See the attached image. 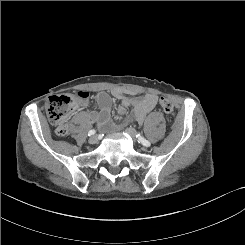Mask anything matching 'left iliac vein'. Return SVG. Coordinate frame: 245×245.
I'll return each mask as SVG.
<instances>
[{
  "instance_id": "1",
  "label": "left iliac vein",
  "mask_w": 245,
  "mask_h": 245,
  "mask_svg": "<svg viewBox=\"0 0 245 245\" xmlns=\"http://www.w3.org/2000/svg\"><path fill=\"white\" fill-rule=\"evenodd\" d=\"M125 132L129 134L133 138V140H137V133L133 128H126Z\"/></svg>"
}]
</instances>
